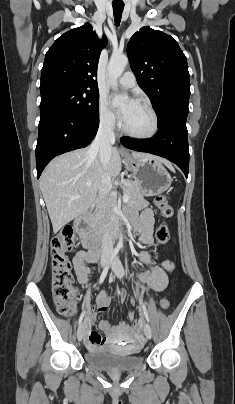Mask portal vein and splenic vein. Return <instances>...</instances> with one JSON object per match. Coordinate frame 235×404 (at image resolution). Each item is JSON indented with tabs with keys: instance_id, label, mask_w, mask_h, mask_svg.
Here are the masks:
<instances>
[{
	"instance_id": "portal-vein-and-splenic-vein-1",
	"label": "portal vein and splenic vein",
	"mask_w": 235,
	"mask_h": 404,
	"mask_svg": "<svg viewBox=\"0 0 235 404\" xmlns=\"http://www.w3.org/2000/svg\"><path fill=\"white\" fill-rule=\"evenodd\" d=\"M86 185H91V183H90V182H87ZM111 195H112V196H117V192H116V191H115V192L113 191V192L111 193ZM123 201H124V202H128V201H129V195H128V194H124V195H123Z\"/></svg>"
}]
</instances>
